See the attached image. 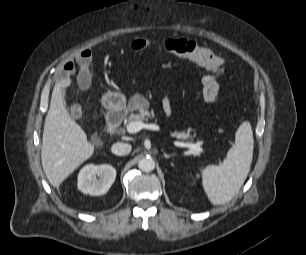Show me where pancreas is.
I'll return each mask as SVG.
<instances>
[{
  "mask_svg": "<svg viewBox=\"0 0 306 255\" xmlns=\"http://www.w3.org/2000/svg\"><path fill=\"white\" fill-rule=\"evenodd\" d=\"M148 108V102L145 99H142L141 102H138L137 97H133L130 101V109L131 110H139V113L137 114H130L127 118V122H133V121H148L150 118L154 117L153 112H149L147 110ZM174 137L181 139V140H187L191 137L190 131H175L172 134Z\"/></svg>",
  "mask_w": 306,
  "mask_h": 255,
  "instance_id": "1",
  "label": "pancreas"
}]
</instances>
